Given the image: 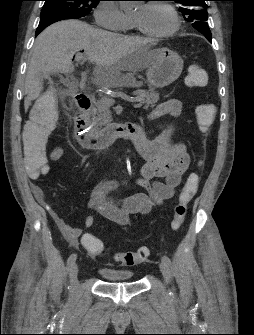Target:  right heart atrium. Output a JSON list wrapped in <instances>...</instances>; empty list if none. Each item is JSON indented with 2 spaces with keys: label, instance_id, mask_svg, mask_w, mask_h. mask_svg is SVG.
Listing matches in <instances>:
<instances>
[{
  "label": "right heart atrium",
  "instance_id": "1",
  "mask_svg": "<svg viewBox=\"0 0 254 335\" xmlns=\"http://www.w3.org/2000/svg\"><path fill=\"white\" fill-rule=\"evenodd\" d=\"M98 26L113 31H127L132 28V20L113 1L101 2L94 11Z\"/></svg>",
  "mask_w": 254,
  "mask_h": 335
}]
</instances>
